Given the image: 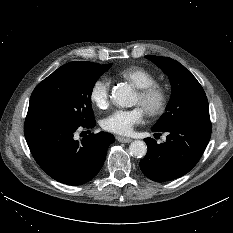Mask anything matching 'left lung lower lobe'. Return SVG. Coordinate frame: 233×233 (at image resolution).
<instances>
[{
	"label": "left lung lower lobe",
	"mask_w": 233,
	"mask_h": 233,
	"mask_svg": "<svg viewBox=\"0 0 233 233\" xmlns=\"http://www.w3.org/2000/svg\"><path fill=\"white\" fill-rule=\"evenodd\" d=\"M153 132H167L166 141L157 144L152 138H145L148 152L140 161L143 174L156 182L176 179L188 173L199 161L211 136L210 119L191 118L165 129Z\"/></svg>",
	"instance_id": "1"
}]
</instances>
